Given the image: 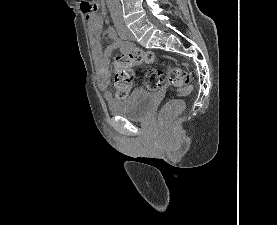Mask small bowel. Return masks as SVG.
Masks as SVG:
<instances>
[{
    "label": "small bowel",
    "instance_id": "1",
    "mask_svg": "<svg viewBox=\"0 0 277 225\" xmlns=\"http://www.w3.org/2000/svg\"><path fill=\"white\" fill-rule=\"evenodd\" d=\"M86 19L89 22V33L91 37V46L95 61L98 65H100V71L105 73L108 69L109 61L111 54L114 49L122 48L126 49L129 47L128 44H125L117 35L116 31L112 27L107 28V33L110 39L112 40V44L108 46L104 51H102L100 45V38L102 34V20L97 19L94 14L87 13ZM106 99L111 98V94L109 92H105Z\"/></svg>",
    "mask_w": 277,
    "mask_h": 225
}]
</instances>
